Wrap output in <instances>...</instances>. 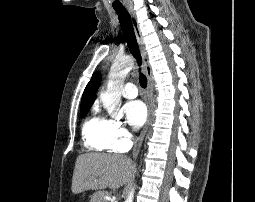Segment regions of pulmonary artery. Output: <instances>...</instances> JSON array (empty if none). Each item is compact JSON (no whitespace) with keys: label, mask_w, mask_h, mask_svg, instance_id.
Here are the masks:
<instances>
[{"label":"pulmonary artery","mask_w":255,"mask_h":202,"mask_svg":"<svg viewBox=\"0 0 255 202\" xmlns=\"http://www.w3.org/2000/svg\"><path fill=\"white\" fill-rule=\"evenodd\" d=\"M122 94L125 98L128 99H133L138 95V90L135 84L133 83H127L123 90H122Z\"/></svg>","instance_id":"e3ab8cb5"}]
</instances>
